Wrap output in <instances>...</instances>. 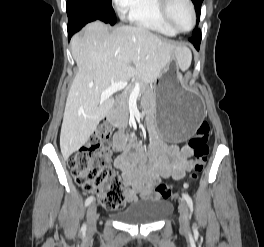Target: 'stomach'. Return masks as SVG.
I'll return each instance as SVG.
<instances>
[{"instance_id": "stomach-1", "label": "stomach", "mask_w": 264, "mask_h": 247, "mask_svg": "<svg viewBox=\"0 0 264 247\" xmlns=\"http://www.w3.org/2000/svg\"><path fill=\"white\" fill-rule=\"evenodd\" d=\"M180 67L170 63L154 86L156 122L165 141H189L205 114L199 94L188 92L180 82Z\"/></svg>"}]
</instances>
